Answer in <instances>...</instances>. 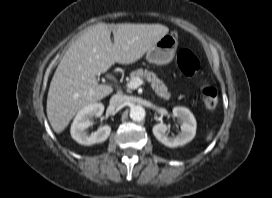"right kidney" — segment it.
Instances as JSON below:
<instances>
[{
	"instance_id": "ca27d5eb",
	"label": "right kidney",
	"mask_w": 272,
	"mask_h": 198,
	"mask_svg": "<svg viewBox=\"0 0 272 198\" xmlns=\"http://www.w3.org/2000/svg\"><path fill=\"white\" fill-rule=\"evenodd\" d=\"M104 111L102 103H93L82 108L74 118L71 125L72 138L81 145H93L104 142L111 133V127L104 125L98 128L96 132L88 135L86 129L91 125L93 117H100Z\"/></svg>"
}]
</instances>
